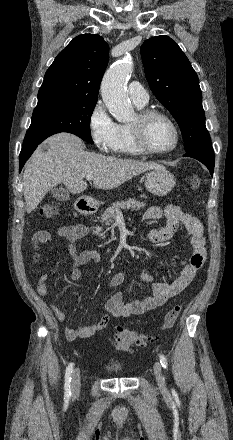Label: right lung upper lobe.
<instances>
[{"instance_id":"right-lung-upper-lobe-1","label":"right lung upper lobe","mask_w":233,"mask_h":440,"mask_svg":"<svg viewBox=\"0 0 233 440\" xmlns=\"http://www.w3.org/2000/svg\"><path fill=\"white\" fill-rule=\"evenodd\" d=\"M109 46L96 34L75 37L55 58L38 92V103L53 98L98 100Z\"/></svg>"}]
</instances>
